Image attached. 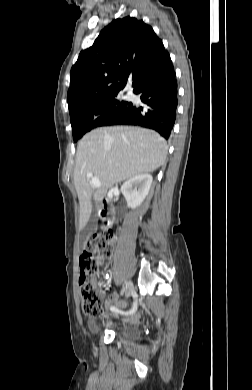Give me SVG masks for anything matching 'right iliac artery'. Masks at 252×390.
I'll return each mask as SVG.
<instances>
[{
    "label": "right iliac artery",
    "instance_id": "right-iliac-artery-1",
    "mask_svg": "<svg viewBox=\"0 0 252 390\" xmlns=\"http://www.w3.org/2000/svg\"><path fill=\"white\" fill-rule=\"evenodd\" d=\"M132 306H131V309H130V312L128 311H122L121 309H117V307L115 306H111L110 307V310L112 312H117L118 314L122 315V316H134L135 313L139 310V307H138V304H137V300L136 299H133L132 300Z\"/></svg>",
    "mask_w": 252,
    "mask_h": 390
}]
</instances>
